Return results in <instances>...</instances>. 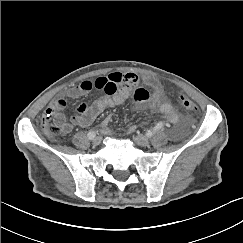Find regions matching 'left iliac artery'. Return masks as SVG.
<instances>
[{
	"label": "left iliac artery",
	"mask_w": 243,
	"mask_h": 243,
	"mask_svg": "<svg viewBox=\"0 0 243 243\" xmlns=\"http://www.w3.org/2000/svg\"><path fill=\"white\" fill-rule=\"evenodd\" d=\"M162 128H163V123L162 122H159V123H157V125L153 129L148 130L147 133H146V135L148 137H152L156 132H158Z\"/></svg>",
	"instance_id": "44dca946"
}]
</instances>
